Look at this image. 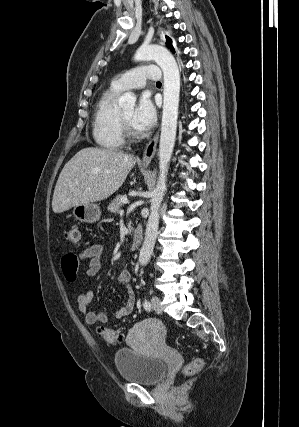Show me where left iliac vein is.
<instances>
[{
	"label": "left iliac vein",
	"instance_id": "left-iliac-vein-1",
	"mask_svg": "<svg viewBox=\"0 0 299 427\" xmlns=\"http://www.w3.org/2000/svg\"><path fill=\"white\" fill-rule=\"evenodd\" d=\"M151 302H152V308L154 309V311L161 314L162 306H161L160 299L157 296H153L151 299Z\"/></svg>",
	"mask_w": 299,
	"mask_h": 427
}]
</instances>
